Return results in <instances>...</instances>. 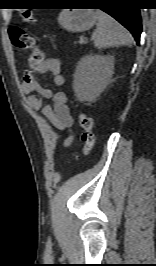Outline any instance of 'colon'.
Wrapping results in <instances>:
<instances>
[{"label": "colon", "instance_id": "colon-1", "mask_svg": "<svg viewBox=\"0 0 156 266\" xmlns=\"http://www.w3.org/2000/svg\"><path fill=\"white\" fill-rule=\"evenodd\" d=\"M22 18L27 23L34 21L33 13L30 11H24ZM9 36L12 44L19 50H30L31 54L28 59V63L31 67H35L44 61L43 51L36 45L34 38L29 35L24 29L20 27H12L9 30ZM79 124L83 129L81 140L83 142V149L81 154H76L77 160L90 154L94 143L95 135L93 133V120L84 112H81L78 116Z\"/></svg>", "mask_w": 156, "mask_h": 266}]
</instances>
